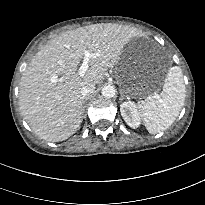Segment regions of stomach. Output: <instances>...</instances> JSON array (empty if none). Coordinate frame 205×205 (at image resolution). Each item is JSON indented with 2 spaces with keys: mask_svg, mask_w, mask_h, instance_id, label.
<instances>
[{
  "mask_svg": "<svg viewBox=\"0 0 205 205\" xmlns=\"http://www.w3.org/2000/svg\"><path fill=\"white\" fill-rule=\"evenodd\" d=\"M137 54L134 48L125 49L117 67V79L122 91L131 95H145L154 91L153 84L143 81L136 68Z\"/></svg>",
  "mask_w": 205,
  "mask_h": 205,
  "instance_id": "obj_1",
  "label": "stomach"
}]
</instances>
